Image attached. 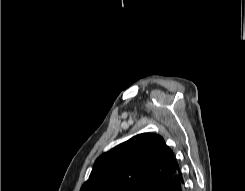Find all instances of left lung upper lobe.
<instances>
[{
    "label": "left lung upper lobe",
    "mask_w": 245,
    "mask_h": 191,
    "mask_svg": "<svg viewBox=\"0 0 245 191\" xmlns=\"http://www.w3.org/2000/svg\"><path fill=\"white\" fill-rule=\"evenodd\" d=\"M177 165L163 137L141 133L99 156L80 191H157Z\"/></svg>",
    "instance_id": "obj_1"
}]
</instances>
